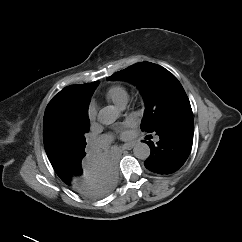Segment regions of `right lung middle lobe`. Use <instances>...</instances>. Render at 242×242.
Listing matches in <instances>:
<instances>
[{
    "label": "right lung middle lobe",
    "mask_w": 242,
    "mask_h": 242,
    "mask_svg": "<svg viewBox=\"0 0 242 242\" xmlns=\"http://www.w3.org/2000/svg\"><path fill=\"white\" fill-rule=\"evenodd\" d=\"M90 127V122L87 121L84 127L77 129L68 135H66L62 140V146L73 149L80 157L86 155L84 149L86 146L85 133L88 132Z\"/></svg>",
    "instance_id": "right-lung-middle-lobe-1"
}]
</instances>
